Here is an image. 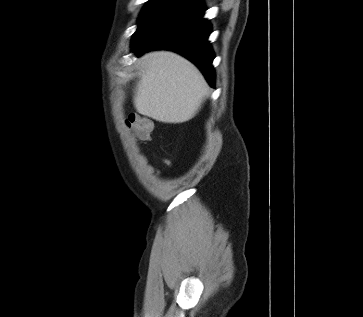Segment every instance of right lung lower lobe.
I'll return each mask as SVG.
<instances>
[{"mask_svg":"<svg viewBox=\"0 0 363 317\" xmlns=\"http://www.w3.org/2000/svg\"><path fill=\"white\" fill-rule=\"evenodd\" d=\"M200 0H186L153 23L138 39L132 41L138 55L152 49H169L191 60L214 86L213 51L207 41L211 28L202 16Z\"/></svg>","mask_w":363,"mask_h":317,"instance_id":"right-lung-lower-lobe-1","label":"right lung lower lobe"}]
</instances>
